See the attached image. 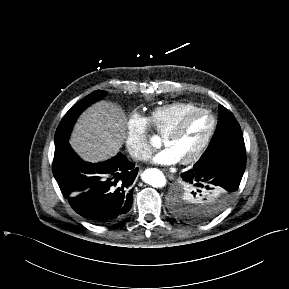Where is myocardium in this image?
<instances>
[{
  "instance_id": "myocardium-1",
  "label": "myocardium",
  "mask_w": 289,
  "mask_h": 289,
  "mask_svg": "<svg viewBox=\"0 0 289 289\" xmlns=\"http://www.w3.org/2000/svg\"><path fill=\"white\" fill-rule=\"evenodd\" d=\"M198 114H207L211 118V127H210L206 137L201 142V144L188 157L180 160V162L182 164H185V165L196 162L202 156V154L205 152L207 147L209 146V144H210V142H211V140L215 134L216 128H217V118L213 114V112L209 109H206V108H198V109L192 110V111L186 113L185 115H183L178 120V122L163 136V143L164 144L168 139L179 136L182 133V131L184 130L187 122L192 117H194L195 115H198Z\"/></svg>"
}]
</instances>
